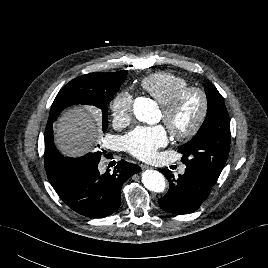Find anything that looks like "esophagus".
<instances>
[{
	"instance_id": "1",
	"label": "esophagus",
	"mask_w": 268,
	"mask_h": 268,
	"mask_svg": "<svg viewBox=\"0 0 268 268\" xmlns=\"http://www.w3.org/2000/svg\"><path fill=\"white\" fill-rule=\"evenodd\" d=\"M140 166H141V168H142L143 170H145V169H149V168H150V167H149L148 165H146V164H141Z\"/></svg>"
}]
</instances>
